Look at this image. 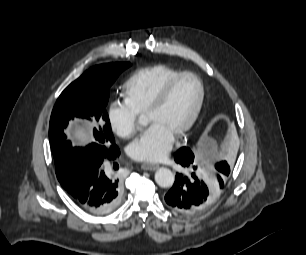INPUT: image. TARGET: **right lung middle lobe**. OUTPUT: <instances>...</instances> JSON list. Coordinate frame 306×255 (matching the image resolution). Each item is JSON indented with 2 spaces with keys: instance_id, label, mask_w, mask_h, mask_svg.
Segmentation results:
<instances>
[{
  "instance_id": "dd1d6c3e",
  "label": "right lung middle lobe",
  "mask_w": 306,
  "mask_h": 255,
  "mask_svg": "<svg viewBox=\"0 0 306 255\" xmlns=\"http://www.w3.org/2000/svg\"><path fill=\"white\" fill-rule=\"evenodd\" d=\"M129 66L130 63L121 62L92 67L57 99L50 118L49 140L56 175L63 188L74 184L79 163L93 164L118 152L105 107L110 86ZM74 117L91 120L94 126V141L84 148L73 147L64 134V128Z\"/></svg>"
}]
</instances>
